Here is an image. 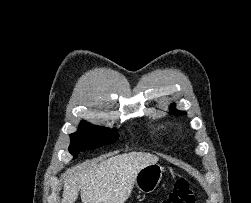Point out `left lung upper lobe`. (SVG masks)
<instances>
[{
  "label": "left lung upper lobe",
  "mask_w": 251,
  "mask_h": 203,
  "mask_svg": "<svg viewBox=\"0 0 251 203\" xmlns=\"http://www.w3.org/2000/svg\"><path fill=\"white\" fill-rule=\"evenodd\" d=\"M170 113L176 114V115H184V114H186V112H182V111H178V110L174 109V105H172V109H171Z\"/></svg>",
  "instance_id": "left-lung-upper-lobe-1"
}]
</instances>
